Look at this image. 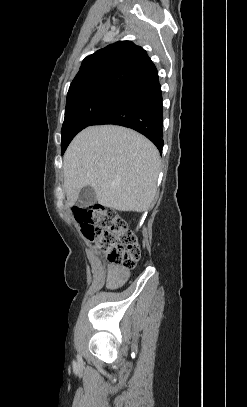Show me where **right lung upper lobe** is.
<instances>
[{
  "label": "right lung upper lobe",
  "instance_id": "1",
  "mask_svg": "<svg viewBox=\"0 0 247 407\" xmlns=\"http://www.w3.org/2000/svg\"><path fill=\"white\" fill-rule=\"evenodd\" d=\"M157 78V70L147 52L131 41H120L83 60L69 87L66 104L109 87L137 90Z\"/></svg>",
  "mask_w": 247,
  "mask_h": 407
}]
</instances>
